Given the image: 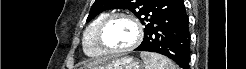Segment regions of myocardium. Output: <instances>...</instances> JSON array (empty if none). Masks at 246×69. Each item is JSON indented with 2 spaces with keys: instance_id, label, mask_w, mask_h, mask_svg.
Returning <instances> with one entry per match:
<instances>
[{
  "instance_id": "f54148a6",
  "label": "myocardium",
  "mask_w": 246,
  "mask_h": 69,
  "mask_svg": "<svg viewBox=\"0 0 246 69\" xmlns=\"http://www.w3.org/2000/svg\"><path fill=\"white\" fill-rule=\"evenodd\" d=\"M118 18H123V19H127L129 20L135 27L136 30V38L133 41V43L125 48L122 49H115V48H111L109 47L103 40V34L105 32V29L107 28V26L115 19ZM143 40V26L140 22V20L135 17L132 14L129 13H112L109 14L108 16H106L104 18V20L100 23L98 29H97V41L100 45V47L103 49L104 52H107L108 54L111 55H121L124 54L128 51H131L133 49H135Z\"/></svg>"
}]
</instances>
